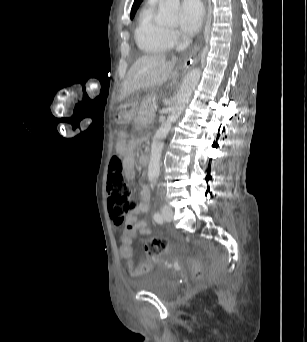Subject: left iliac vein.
Returning <instances> with one entry per match:
<instances>
[{
    "instance_id": "4c4485c4",
    "label": "left iliac vein",
    "mask_w": 307,
    "mask_h": 342,
    "mask_svg": "<svg viewBox=\"0 0 307 342\" xmlns=\"http://www.w3.org/2000/svg\"><path fill=\"white\" fill-rule=\"evenodd\" d=\"M161 214L165 221H171L173 219V211L168 206L162 208Z\"/></svg>"
}]
</instances>
